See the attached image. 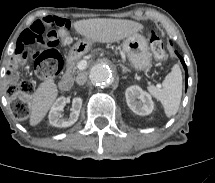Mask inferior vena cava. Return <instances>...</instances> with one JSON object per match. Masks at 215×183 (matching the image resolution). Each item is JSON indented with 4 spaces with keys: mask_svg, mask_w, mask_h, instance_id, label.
I'll use <instances>...</instances> for the list:
<instances>
[{
    "mask_svg": "<svg viewBox=\"0 0 215 183\" xmlns=\"http://www.w3.org/2000/svg\"><path fill=\"white\" fill-rule=\"evenodd\" d=\"M87 81V73L86 72H82L79 73L76 77V82L79 85H84Z\"/></svg>",
    "mask_w": 215,
    "mask_h": 183,
    "instance_id": "1",
    "label": "inferior vena cava"
}]
</instances>
